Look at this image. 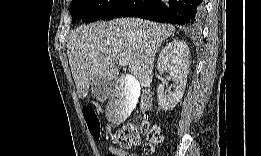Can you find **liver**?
Returning <instances> with one entry per match:
<instances>
[{
  "label": "liver",
  "instance_id": "6515ba94",
  "mask_svg": "<svg viewBox=\"0 0 261 156\" xmlns=\"http://www.w3.org/2000/svg\"><path fill=\"white\" fill-rule=\"evenodd\" d=\"M174 33L171 25L139 18H121L79 26L67 43V55L78 96L88 95L91 81H113L119 71L114 60H126L128 70L142 87L150 85L156 53L162 42ZM136 101L114 93L106 116L122 122Z\"/></svg>",
  "mask_w": 261,
  "mask_h": 156
}]
</instances>
